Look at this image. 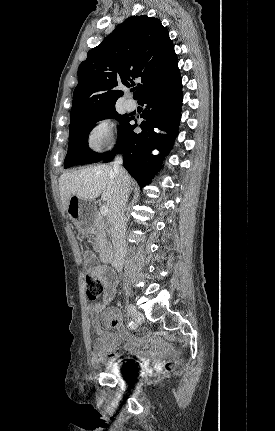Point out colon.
I'll list each match as a JSON object with an SVG mask.
<instances>
[{
	"label": "colon",
	"instance_id": "5ec220e1",
	"mask_svg": "<svg viewBox=\"0 0 275 431\" xmlns=\"http://www.w3.org/2000/svg\"><path fill=\"white\" fill-rule=\"evenodd\" d=\"M87 296L91 301L97 300L104 291L103 282L94 274L85 276Z\"/></svg>",
	"mask_w": 275,
	"mask_h": 431
}]
</instances>
